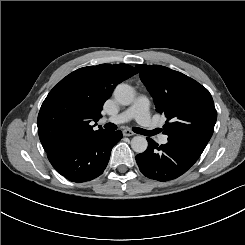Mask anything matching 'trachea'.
I'll use <instances>...</instances> for the list:
<instances>
[{
	"label": "trachea",
	"mask_w": 245,
	"mask_h": 245,
	"mask_svg": "<svg viewBox=\"0 0 245 245\" xmlns=\"http://www.w3.org/2000/svg\"><path fill=\"white\" fill-rule=\"evenodd\" d=\"M117 126L113 123H108L105 125V129L107 130H111V131H114L116 130ZM133 131L138 133V134H143V135H146V136H150L152 134H155V133H158V131L155 129L153 131H147V130H144V129H141V128H133Z\"/></svg>",
	"instance_id": "3493384b"
}]
</instances>
